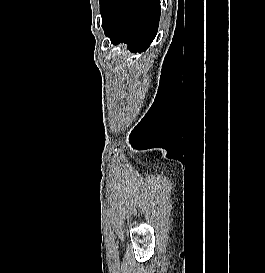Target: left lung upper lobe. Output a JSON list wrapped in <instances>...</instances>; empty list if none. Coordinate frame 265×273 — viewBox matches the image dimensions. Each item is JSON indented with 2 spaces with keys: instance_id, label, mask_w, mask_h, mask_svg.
<instances>
[{
  "instance_id": "left-lung-upper-lobe-1",
  "label": "left lung upper lobe",
  "mask_w": 265,
  "mask_h": 273,
  "mask_svg": "<svg viewBox=\"0 0 265 273\" xmlns=\"http://www.w3.org/2000/svg\"><path fill=\"white\" fill-rule=\"evenodd\" d=\"M100 11H101V16H102V21H103L106 16V12L103 9H100Z\"/></svg>"
}]
</instances>
